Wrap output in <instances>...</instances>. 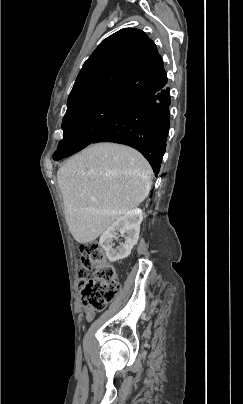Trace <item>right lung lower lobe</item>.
<instances>
[{"label": "right lung lower lobe", "mask_w": 243, "mask_h": 404, "mask_svg": "<svg viewBox=\"0 0 243 404\" xmlns=\"http://www.w3.org/2000/svg\"><path fill=\"white\" fill-rule=\"evenodd\" d=\"M169 106L170 91L166 84L160 90L154 89L131 98L92 143L115 142L131 146L149 161L158 174L170 127Z\"/></svg>", "instance_id": "right-lung-lower-lobe-1"}]
</instances>
